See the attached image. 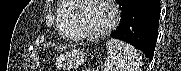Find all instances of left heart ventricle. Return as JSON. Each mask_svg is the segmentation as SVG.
<instances>
[{"label":"left heart ventricle","instance_id":"1","mask_svg":"<svg viewBox=\"0 0 181 71\" xmlns=\"http://www.w3.org/2000/svg\"><path fill=\"white\" fill-rule=\"evenodd\" d=\"M109 20L108 11L99 2L84 1L78 17V29L83 33L93 34L104 29Z\"/></svg>","mask_w":181,"mask_h":71}]
</instances>
